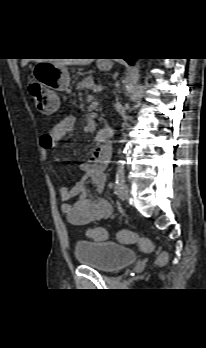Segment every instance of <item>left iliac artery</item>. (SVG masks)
I'll return each mask as SVG.
<instances>
[{"mask_svg":"<svg viewBox=\"0 0 206 348\" xmlns=\"http://www.w3.org/2000/svg\"><path fill=\"white\" fill-rule=\"evenodd\" d=\"M125 184V173L122 169H119L116 174L114 193H118L121 187Z\"/></svg>","mask_w":206,"mask_h":348,"instance_id":"44dca946","label":"left iliac artery"}]
</instances>
